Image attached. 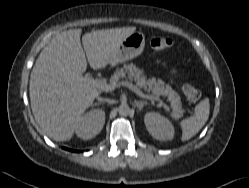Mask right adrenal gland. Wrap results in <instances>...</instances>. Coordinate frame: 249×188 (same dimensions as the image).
<instances>
[{
  "mask_svg": "<svg viewBox=\"0 0 249 188\" xmlns=\"http://www.w3.org/2000/svg\"><path fill=\"white\" fill-rule=\"evenodd\" d=\"M101 103H103V102L94 103V104H92V106H97V105H99V104H101Z\"/></svg>",
  "mask_w": 249,
  "mask_h": 188,
  "instance_id": "1",
  "label": "right adrenal gland"
}]
</instances>
